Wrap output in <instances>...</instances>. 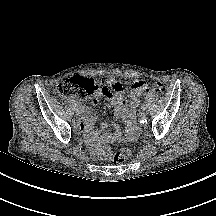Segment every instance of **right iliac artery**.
I'll list each match as a JSON object with an SVG mask.
<instances>
[{
  "mask_svg": "<svg viewBox=\"0 0 216 216\" xmlns=\"http://www.w3.org/2000/svg\"><path fill=\"white\" fill-rule=\"evenodd\" d=\"M76 108H81V103H76Z\"/></svg>",
  "mask_w": 216,
  "mask_h": 216,
  "instance_id": "right-iliac-artery-1",
  "label": "right iliac artery"
}]
</instances>
